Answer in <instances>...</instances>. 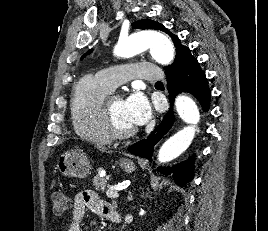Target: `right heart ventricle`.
<instances>
[{
	"label": "right heart ventricle",
	"instance_id": "obj_1",
	"mask_svg": "<svg viewBox=\"0 0 268 231\" xmlns=\"http://www.w3.org/2000/svg\"><path fill=\"white\" fill-rule=\"evenodd\" d=\"M99 78H82L70 101V116L75 133L96 144L106 145L112 140L103 119V102L112 92Z\"/></svg>",
	"mask_w": 268,
	"mask_h": 231
}]
</instances>
